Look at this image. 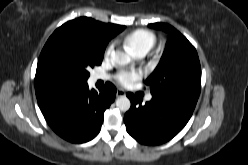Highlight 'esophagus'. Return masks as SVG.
<instances>
[{"instance_id": "obj_1", "label": "esophagus", "mask_w": 248, "mask_h": 165, "mask_svg": "<svg viewBox=\"0 0 248 165\" xmlns=\"http://www.w3.org/2000/svg\"><path fill=\"white\" fill-rule=\"evenodd\" d=\"M125 95V91L122 90V89H117V92H116V96L117 97H120V96H124Z\"/></svg>"}]
</instances>
